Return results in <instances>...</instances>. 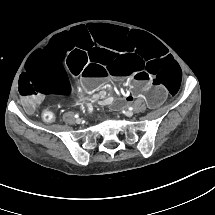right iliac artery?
Instances as JSON below:
<instances>
[{
  "label": "right iliac artery",
  "mask_w": 215,
  "mask_h": 215,
  "mask_svg": "<svg viewBox=\"0 0 215 215\" xmlns=\"http://www.w3.org/2000/svg\"><path fill=\"white\" fill-rule=\"evenodd\" d=\"M74 117H75V118H78L79 116H78V114H76V115H74Z\"/></svg>",
  "instance_id": "obj_1"
}]
</instances>
